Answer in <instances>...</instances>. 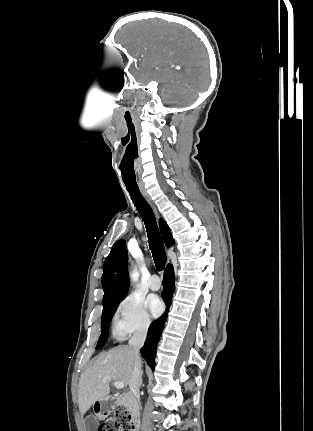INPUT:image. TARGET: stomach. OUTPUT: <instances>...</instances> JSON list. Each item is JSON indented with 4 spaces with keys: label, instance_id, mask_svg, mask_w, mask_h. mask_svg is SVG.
<instances>
[{
    "label": "stomach",
    "instance_id": "1",
    "mask_svg": "<svg viewBox=\"0 0 313 431\" xmlns=\"http://www.w3.org/2000/svg\"><path fill=\"white\" fill-rule=\"evenodd\" d=\"M98 405L99 410L97 411V415L100 417H104L106 413H104L105 407L107 405L106 401H99L96 403Z\"/></svg>",
    "mask_w": 313,
    "mask_h": 431
}]
</instances>
